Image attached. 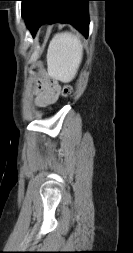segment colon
Returning a JSON list of instances; mask_svg holds the SVG:
<instances>
[{"label": "colon", "mask_w": 133, "mask_h": 253, "mask_svg": "<svg viewBox=\"0 0 133 253\" xmlns=\"http://www.w3.org/2000/svg\"><path fill=\"white\" fill-rule=\"evenodd\" d=\"M71 92V88L69 86H66L63 90V94L66 96V95H69Z\"/></svg>", "instance_id": "5ec220e1"}]
</instances>
